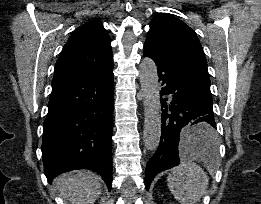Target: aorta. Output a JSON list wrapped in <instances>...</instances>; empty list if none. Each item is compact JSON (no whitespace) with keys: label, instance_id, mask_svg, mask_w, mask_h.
I'll use <instances>...</instances> for the list:
<instances>
[{"label":"aorta","instance_id":"aorta-1","mask_svg":"<svg viewBox=\"0 0 261 204\" xmlns=\"http://www.w3.org/2000/svg\"><path fill=\"white\" fill-rule=\"evenodd\" d=\"M140 84L144 104V145L147 150L158 148L161 137L160 93L157 67L154 61L146 57L141 61Z\"/></svg>","mask_w":261,"mask_h":204}]
</instances>
